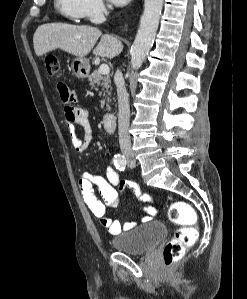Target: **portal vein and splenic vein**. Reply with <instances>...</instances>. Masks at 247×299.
<instances>
[{
	"mask_svg": "<svg viewBox=\"0 0 247 299\" xmlns=\"http://www.w3.org/2000/svg\"><path fill=\"white\" fill-rule=\"evenodd\" d=\"M110 72L109 66L107 64H101L99 67V73L102 75L108 74Z\"/></svg>",
	"mask_w": 247,
	"mask_h": 299,
	"instance_id": "18ae733b",
	"label": "portal vein and splenic vein"
}]
</instances>
